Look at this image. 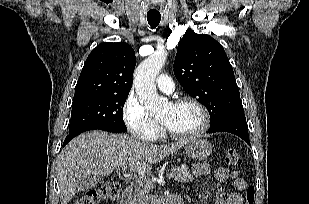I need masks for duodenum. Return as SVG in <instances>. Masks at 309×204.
<instances>
[{"label": "duodenum", "instance_id": "410a0bca", "mask_svg": "<svg viewBox=\"0 0 309 204\" xmlns=\"http://www.w3.org/2000/svg\"><path fill=\"white\" fill-rule=\"evenodd\" d=\"M134 191L132 186L128 185L123 192L121 204H131Z\"/></svg>", "mask_w": 309, "mask_h": 204}]
</instances>
